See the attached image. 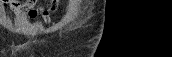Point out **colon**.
I'll return each mask as SVG.
<instances>
[{
    "label": "colon",
    "mask_w": 172,
    "mask_h": 57,
    "mask_svg": "<svg viewBox=\"0 0 172 57\" xmlns=\"http://www.w3.org/2000/svg\"><path fill=\"white\" fill-rule=\"evenodd\" d=\"M30 13H31V14H34V13H36V10H31Z\"/></svg>",
    "instance_id": "obj_1"
}]
</instances>
